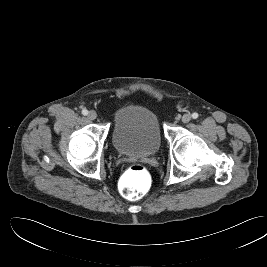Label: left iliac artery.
Returning a JSON list of instances; mask_svg holds the SVG:
<instances>
[{"mask_svg": "<svg viewBox=\"0 0 267 267\" xmlns=\"http://www.w3.org/2000/svg\"><path fill=\"white\" fill-rule=\"evenodd\" d=\"M198 116H199V115H198V113H196V112H194V113L192 114V118H193V119H197Z\"/></svg>", "mask_w": 267, "mask_h": 267, "instance_id": "obj_1", "label": "left iliac artery"}]
</instances>
